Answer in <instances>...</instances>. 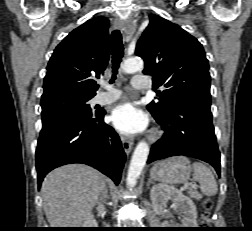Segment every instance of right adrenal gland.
<instances>
[{
  "mask_svg": "<svg viewBox=\"0 0 252 231\" xmlns=\"http://www.w3.org/2000/svg\"><path fill=\"white\" fill-rule=\"evenodd\" d=\"M106 199H108V190H107V187L105 186L104 190H103V193L100 196V200H106Z\"/></svg>",
  "mask_w": 252,
  "mask_h": 231,
  "instance_id": "obj_1",
  "label": "right adrenal gland"
}]
</instances>
